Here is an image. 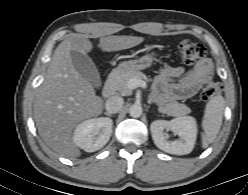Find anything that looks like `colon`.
Returning <instances> with one entry per match:
<instances>
[{"instance_id":"5ec220e1","label":"colon","mask_w":248,"mask_h":195,"mask_svg":"<svg viewBox=\"0 0 248 195\" xmlns=\"http://www.w3.org/2000/svg\"><path fill=\"white\" fill-rule=\"evenodd\" d=\"M177 48L181 61L187 65L194 64L206 55V49L203 44L188 39L181 40ZM221 90L222 86L219 82L206 80L202 85L200 98L203 102H206Z\"/></svg>"}]
</instances>
